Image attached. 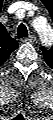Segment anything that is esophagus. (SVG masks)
Instances as JSON below:
<instances>
[{"label": "esophagus", "mask_w": 53, "mask_h": 120, "mask_svg": "<svg viewBox=\"0 0 53 120\" xmlns=\"http://www.w3.org/2000/svg\"><path fill=\"white\" fill-rule=\"evenodd\" d=\"M36 40V37L34 35H30L29 37L23 38V43H32Z\"/></svg>", "instance_id": "1"}]
</instances>
